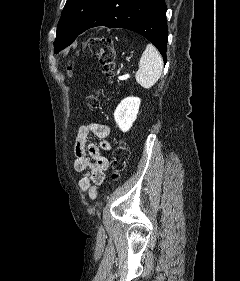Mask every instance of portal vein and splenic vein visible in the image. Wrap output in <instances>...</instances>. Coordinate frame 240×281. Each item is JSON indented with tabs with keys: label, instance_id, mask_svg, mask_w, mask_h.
<instances>
[{
	"label": "portal vein and splenic vein",
	"instance_id": "1",
	"mask_svg": "<svg viewBox=\"0 0 240 281\" xmlns=\"http://www.w3.org/2000/svg\"><path fill=\"white\" fill-rule=\"evenodd\" d=\"M132 71H129L128 73H126L125 75L119 77L120 80H125L130 78Z\"/></svg>",
	"mask_w": 240,
	"mask_h": 281
}]
</instances>
